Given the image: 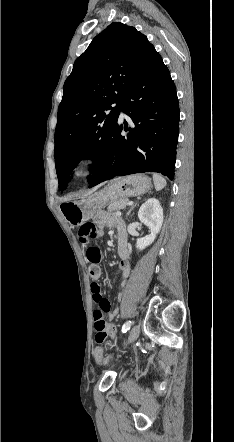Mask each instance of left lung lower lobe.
I'll list each match as a JSON object with an SVG mask.
<instances>
[{"label":"left lung lower lobe","instance_id":"1","mask_svg":"<svg viewBox=\"0 0 234 442\" xmlns=\"http://www.w3.org/2000/svg\"><path fill=\"white\" fill-rule=\"evenodd\" d=\"M120 108L134 123L116 126L102 165L89 179L93 187L115 176L159 172L174 177L179 104L168 68L154 52L144 70L127 89Z\"/></svg>","mask_w":234,"mask_h":442}]
</instances>
